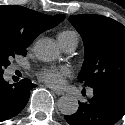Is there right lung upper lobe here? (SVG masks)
Returning <instances> with one entry per match:
<instances>
[{
	"instance_id": "1",
	"label": "right lung upper lobe",
	"mask_w": 125,
	"mask_h": 125,
	"mask_svg": "<svg viewBox=\"0 0 125 125\" xmlns=\"http://www.w3.org/2000/svg\"><path fill=\"white\" fill-rule=\"evenodd\" d=\"M64 14L46 15L17 5L0 6V46L26 49L42 32L55 27Z\"/></svg>"
}]
</instances>
